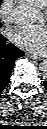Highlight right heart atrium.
Here are the masks:
<instances>
[{"label": "right heart atrium", "mask_w": 47, "mask_h": 129, "mask_svg": "<svg viewBox=\"0 0 47 129\" xmlns=\"http://www.w3.org/2000/svg\"><path fill=\"white\" fill-rule=\"evenodd\" d=\"M14 0H3L0 5V16L5 22L12 20Z\"/></svg>", "instance_id": "1"}]
</instances>
